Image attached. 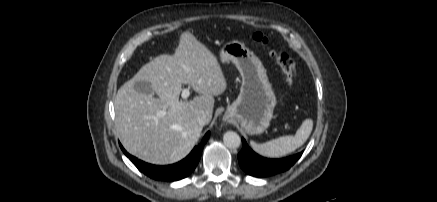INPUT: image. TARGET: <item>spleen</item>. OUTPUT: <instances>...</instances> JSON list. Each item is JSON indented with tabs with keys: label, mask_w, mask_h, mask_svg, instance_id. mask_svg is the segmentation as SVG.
<instances>
[{
	"label": "spleen",
	"mask_w": 437,
	"mask_h": 202,
	"mask_svg": "<svg viewBox=\"0 0 437 202\" xmlns=\"http://www.w3.org/2000/svg\"><path fill=\"white\" fill-rule=\"evenodd\" d=\"M312 128V119H306L294 136H282L262 144L250 141V145L255 152L262 156L270 158L282 157L301 147L310 136Z\"/></svg>",
	"instance_id": "3e777b00"
}]
</instances>
